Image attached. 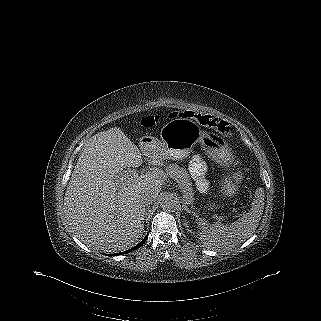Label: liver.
Masks as SVG:
<instances>
[{"label": "liver", "mask_w": 321, "mask_h": 321, "mask_svg": "<svg viewBox=\"0 0 321 321\" xmlns=\"http://www.w3.org/2000/svg\"><path fill=\"white\" fill-rule=\"evenodd\" d=\"M142 156L149 165H162L164 157L150 147L139 148L119 127L92 136L79 156L64 197L65 215L73 232L89 247L105 252L133 246L144 231L147 188L158 196L166 180L152 169L133 176Z\"/></svg>", "instance_id": "1"}]
</instances>
